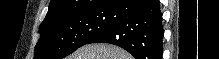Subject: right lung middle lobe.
<instances>
[{
  "mask_svg": "<svg viewBox=\"0 0 219 59\" xmlns=\"http://www.w3.org/2000/svg\"><path fill=\"white\" fill-rule=\"evenodd\" d=\"M115 17L114 9L110 8L42 23L34 58L63 59L109 28L115 22Z\"/></svg>",
  "mask_w": 219,
  "mask_h": 59,
  "instance_id": "1",
  "label": "right lung middle lobe"
}]
</instances>
